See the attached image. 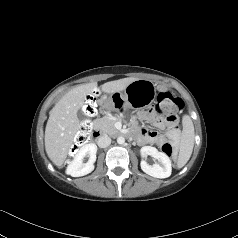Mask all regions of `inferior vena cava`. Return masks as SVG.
Listing matches in <instances>:
<instances>
[{
	"instance_id": "inferior-vena-cava-1",
	"label": "inferior vena cava",
	"mask_w": 238,
	"mask_h": 238,
	"mask_svg": "<svg viewBox=\"0 0 238 238\" xmlns=\"http://www.w3.org/2000/svg\"><path fill=\"white\" fill-rule=\"evenodd\" d=\"M97 144L101 148H105L111 144V138L108 135L99 137Z\"/></svg>"
}]
</instances>
